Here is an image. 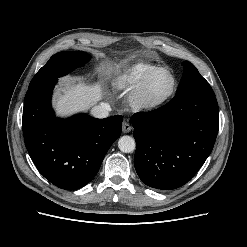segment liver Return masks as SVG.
Segmentation results:
<instances>
[{
	"label": "liver",
	"instance_id": "1",
	"mask_svg": "<svg viewBox=\"0 0 247 247\" xmlns=\"http://www.w3.org/2000/svg\"><path fill=\"white\" fill-rule=\"evenodd\" d=\"M102 94L99 83L91 86L65 83L58 89L53 105L57 114L63 117L90 108L102 98Z\"/></svg>",
	"mask_w": 247,
	"mask_h": 247
}]
</instances>
